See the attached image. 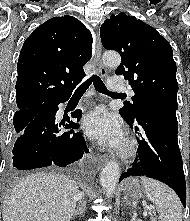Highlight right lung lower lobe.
<instances>
[{
	"instance_id": "obj_1",
	"label": "right lung lower lobe",
	"mask_w": 190,
	"mask_h": 221,
	"mask_svg": "<svg viewBox=\"0 0 190 221\" xmlns=\"http://www.w3.org/2000/svg\"><path fill=\"white\" fill-rule=\"evenodd\" d=\"M71 95L55 97L41 107L39 114L31 120L17 138L12 151L11 167L18 170L57 165L65 167L82 158L88 152L80 132H62L64 124L56 121L58 104L66 102ZM81 111L76 110L72 117L79 121ZM65 128L77 129L78 124L68 121Z\"/></svg>"
}]
</instances>
